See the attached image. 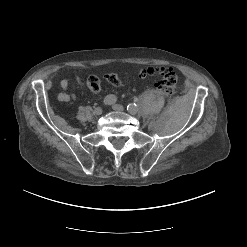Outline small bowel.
<instances>
[{
    "label": "small bowel",
    "instance_id": "1",
    "mask_svg": "<svg viewBox=\"0 0 247 247\" xmlns=\"http://www.w3.org/2000/svg\"><path fill=\"white\" fill-rule=\"evenodd\" d=\"M75 79L81 83V79L78 76H75ZM70 81L68 78H64L60 82V87L62 89V92L59 93L58 95V100L59 101H69L71 100L74 96L68 92Z\"/></svg>",
    "mask_w": 247,
    "mask_h": 247
}]
</instances>
